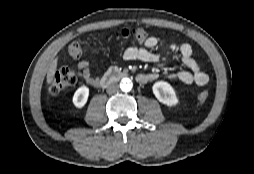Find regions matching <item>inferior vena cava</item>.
Listing matches in <instances>:
<instances>
[{"mask_svg":"<svg viewBox=\"0 0 254 174\" xmlns=\"http://www.w3.org/2000/svg\"><path fill=\"white\" fill-rule=\"evenodd\" d=\"M119 90V85L117 83H111L107 86V93L109 94H114L116 92H118Z\"/></svg>","mask_w":254,"mask_h":174,"instance_id":"inferior-vena-cava-1","label":"inferior vena cava"}]
</instances>
